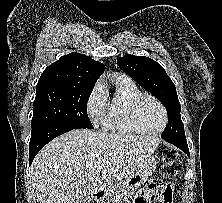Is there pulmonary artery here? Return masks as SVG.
<instances>
[{"mask_svg": "<svg viewBox=\"0 0 222 203\" xmlns=\"http://www.w3.org/2000/svg\"><path fill=\"white\" fill-rule=\"evenodd\" d=\"M118 78H119V79H127V80H129V78H127V77L124 76V75H119Z\"/></svg>", "mask_w": 222, "mask_h": 203, "instance_id": "pulmonary-artery-1", "label": "pulmonary artery"}]
</instances>
